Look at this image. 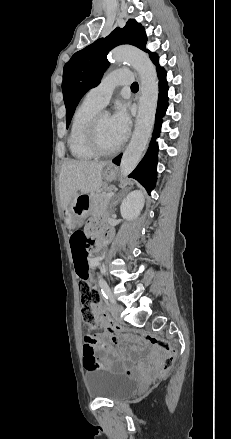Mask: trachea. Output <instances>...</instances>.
<instances>
[{
	"instance_id": "1",
	"label": "trachea",
	"mask_w": 231,
	"mask_h": 439,
	"mask_svg": "<svg viewBox=\"0 0 231 439\" xmlns=\"http://www.w3.org/2000/svg\"><path fill=\"white\" fill-rule=\"evenodd\" d=\"M138 88H139V86H138V83H137V82H134V83L131 85V89H137V90H138Z\"/></svg>"
}]
</instances>
